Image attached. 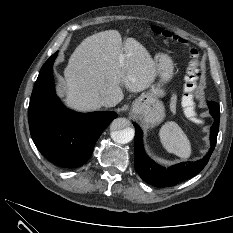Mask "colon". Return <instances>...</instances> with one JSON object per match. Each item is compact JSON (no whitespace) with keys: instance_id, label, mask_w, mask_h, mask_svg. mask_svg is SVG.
I'll use <instances>...</instances> for the list:
<instances>
[{"instance_id":"1","label":"colon","mask_w":233,"mask_h":233,"mask_svg":"<svg viewBox=\"0 0 233 233\" xmlns=\"http://www.w3.org/2000/svg\"><path fill=\"white\" fill-rule=\"evenodd\" d=\"M152 31L169 40L174 41H183L178 36L173 35L167 30H163L160 27H153ZM190 62L185 74V97H184V106L187 110L194 115V102H193V92L195 91L199 78V52L191 48L189 50Z\"/></svg>"}]
</instances>
